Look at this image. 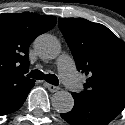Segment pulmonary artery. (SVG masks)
Listing matches in <instances>:
<instances>
[{"instance_id":"obj_1","label":"pulmonary artery","mask_w":125,"mask_h":125,"mask_svg":"<svg viewBox=\"0 0 125 125\" xmlns=\"http://www.w3.org/2000/svg\"><path fill=\"white\" fill-rule=\"evenodd\" d=\"M57 66L65 84L72 89L78 88L79 80L73 66L72 58L69 55H62L57 61Z\"/></svg>"}]
</instances>
